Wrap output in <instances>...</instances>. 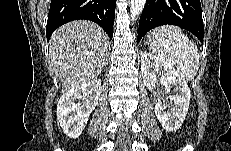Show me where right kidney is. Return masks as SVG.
<instances>
[{
	"mask_svg": "<svg viewBox=\"0 0 231 151\" xmlns=\"http://www.w3.org/2000/svg\"><path fill=\"white\" fill-rule=\"evenodd\" d=\"M101 80L86 81L65 92L57 105V119L64 133L73 139L84 130L88 117L98 104ZM83 98V104L77 102Z\"/></svg>",
	"mask_w": 231,
	"mask_h": 151,
	"instance_id": "ca27d5eb",
	"label": "right kidney"
}]
</instances>
